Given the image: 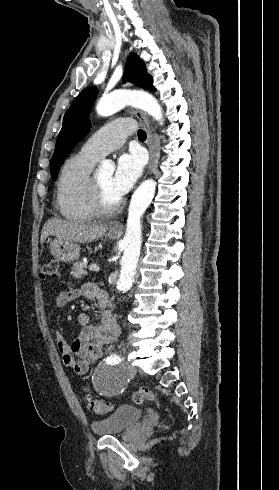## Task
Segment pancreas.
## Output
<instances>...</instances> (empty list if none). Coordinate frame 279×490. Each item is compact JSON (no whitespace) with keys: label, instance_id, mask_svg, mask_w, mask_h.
Instances as JSON below:
<instances>
[{"label":"pancreas","instance_id":"pancreas-1","mask_svg":"<svg viewBox=\"0 0 279 490\" xmlns=\"http://www.w3.org/2000/svg\"><path fill=\"white\" fill-rule=\"evenodd\" d=\"M85 268L86 264H83V262H74L70 274L73 276V278H79V280H81L83 276H87L88 274Z\"/></svg>","mask_w":279,"mask_h":490}]
</instances>
